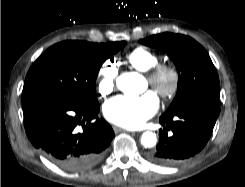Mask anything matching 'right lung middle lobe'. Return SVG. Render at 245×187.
I'll return each instance as SVG.
<instances>
[{"label":"right lung middle lobe","instance_id":"obj_1","mask_svg":"<svg viewBox=\"0 0 245 187\" xmlns=\"http://www.w3.org/2000/svg\"><path fill=\"white\" fill-rule=\"evenodd\" d=\"M125 44V41L107 44L64 41L51 46L29 69L22 104L57 97L99 106L96 97L98 71L105 60Z\"/></svg>","mask_w":245,"mask_h":187}]
</instances>
